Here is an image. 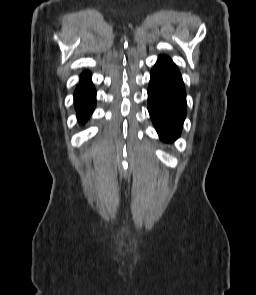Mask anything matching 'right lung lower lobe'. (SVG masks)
<instances>
[{
	"mask_svg": "<svg viewBox=\"0 0 256 295\" xmlns=\"http://www.w3.org/2000/svg\"><path fill=\"white\" fill-rule=\"evenodd\" d=\"M96 91L91 82V73L85 71L80 78V83L74 93V103L77 117L85 122L94 110Z\"/></svg>",
	"mask_w": 256,
	"mask_h": 295,
	"instance_id": "98d812e1",
	"label": "right lung lower lobe"
}]
</instances>
